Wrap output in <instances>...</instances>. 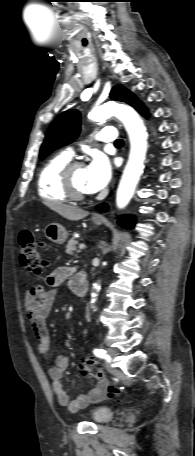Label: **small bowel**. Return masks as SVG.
<instances>
[{
	"instance_id": "small-bowel-1",
	"label": "small bowel",
	"mask_w": 195,
	"mask_h": 456,
	"mask_svg": "<svg viewBox=\"0 0 195 456\" xmlns=\"http://www.w3.org/2000/svg\"><path fill=\"white\" fill-rule=\"evenodd\" d=\"M71 276V269L60 267L47 276V284L52 288L44 289L42 286L29 288L24 295V305L27 310L28 319L38 340V352L45 359L50 356V336L47 327V317L58 294L57 287ZM68 358L60 355L55 359L54 365L48 369V375L52 381L53 391L60 405L71 411L85 407L91 402L101 400L106 394V384L98 383L90 387L86 392L70 399L63 388L62 377L68 368Z\"/></svg>"
}]
</instances>
